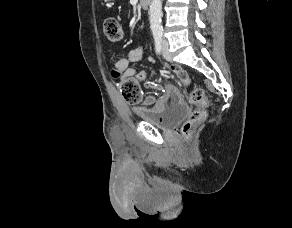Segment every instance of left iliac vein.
I'll use <instances>...</instances> for the list:
<instances>
[{
    "instance_id": "1",
    "label": "left iliac vein",
    "mask_w": 292,
    "mask_h": 228,
    "mask_svg": "<svg viewBox=\"0 0 292 228\" xmlns=\"http://www.w3.org/2000/svg\"><path fill=\"white\" fill-rule=\"evenodd\" d=\"M162 50H163V57L166 59V60H170L171 57H170V53L168 51V43L167 41H163V47H162Z\"/></svg>"
}]
</instances>
